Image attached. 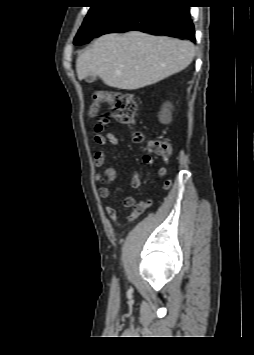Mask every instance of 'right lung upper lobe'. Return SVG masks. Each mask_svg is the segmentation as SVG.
<instances>
[{
	"label": "right lung upper lobe",
	"mask_w": 254,
	"mask_h": 355,
	"mask_svg": "<svg viewBox=\"0 0 254 355\" xmlns=\"http://www.w3.org/2000/svg\"><path fill=\"white\" fill-rule=\"evenodd\" d=\"M95 3H100V2H106V1H112V2H117V3H127V2H131L134 0H93Z\"/></svg>",
	"instance_id": "cb5924a9"
}]
</instances>
